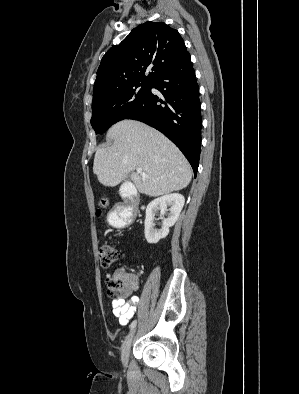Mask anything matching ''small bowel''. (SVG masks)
<instances>
[{
    "label": "small bowel",
    "mask_w": 299,
    "mask_h": 394,
    "mask_svg": "<svg viewBox=\"0 0 299 394\" xmlns=\"http://www.w3.org/2000/svg\"><path fill=\"white\" fill-rule=\"evenodd\" d=\"M121 208L122 205H120L119 211ZM122 257H125L124 253ZM132 277L134 279L133 290L136 291L138 289V277L134 274ZM109 278L110 276L107 275L105 280L107 281ZM138 303V296H132L129 300H112V312L118 318L120 325L125 326L128 324L136 312Z\"/></svg>",
    "instance_id": "small-bowel-1"
}]
</instances>
